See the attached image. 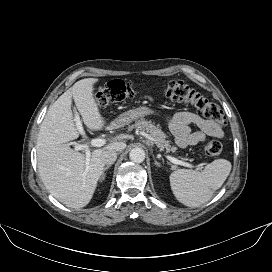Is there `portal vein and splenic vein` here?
I'll return each instance as SVG.
<instances>
[{
    "instance_id": "1",
    "label": "portal vein and splenic vein",
    "mask_w": 272,
    "mask_h": 272,
    "mask_svg": "<svg viewBox=\"0 0 272 272\" xmlns=\"http://www.w3.org/2000/svg\"><path fill=\"white\" fill-rule=\"evenodd\" d=\"M74 120H75L76 127H77L78 131L80 132V134L85 136V132L83 130V127H82V124H81V121H80V117H79L78 114H75ZM90 144L92 146H94V147H101V146H104L106 144V140L102 139V138H95V139H92L90 141ZM79 150H84L85 151V154H86V157H87V160H88L89 157H90V150H89L88 144H78V145H76L75 148H74V151H79ZM167 158H168L169 161H171L175 165H182V166H186V167H190V168L193 167L192 164L181 161V160H178L177 158H174V157H171V156H167ZM196 169L197 170H202L203 167L198 165V166H196Z\"/></svg>"
}]
</instances>
